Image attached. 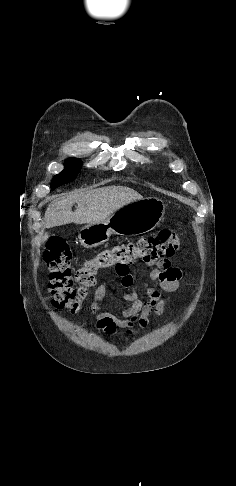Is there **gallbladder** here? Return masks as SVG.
Returning <instances> with one entry per match:
<instances>
[{"label": "gallbladder", "instance_id": "bac80fb5", "mask_svg": "<svg viewBox=\"0 0 236 486\" xmlns=\"http://www.w3.org/2000/svg\"><path fill=\"white\" fill-rule=\"evenodd\" d=\"M48 238V236L46 235V237H43V241H46Z\"/></svg>", "mask_w": 236, "mask_h": 486}]
</instances>
